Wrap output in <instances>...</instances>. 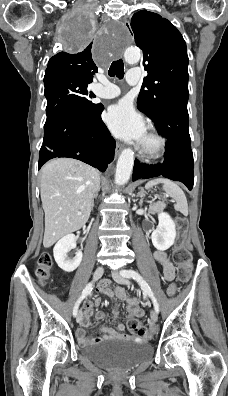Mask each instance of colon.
<instances>
[{"label": "colon", "mask_w": 228, "mask_h": 396, "mask_svg": "<svg viewBox=\"0 0 228 396\" xmlns=\"http://www.w3.org/2000/svg\"><path fill=\"white\" fill-rule=\"evenodd\" d=\"M177 240L173 253V260L178 268V276L181 281H187L192 273V256L189 250V245L186 238L187 224L183 218L177 219L176 222ZM53 260L49 253L44 252L38 259L36 268V276L40 283H45L51 274ZM129 330L145 339H150L152 333L149 332L141 322L136 319L128 321Z\"/></svg>", "instance_id": "colon-1"}]
</instances>
